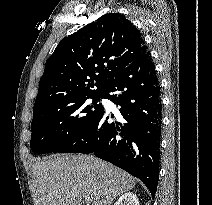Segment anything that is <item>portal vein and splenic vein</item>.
Returning <instances> with one entry per match:
<instances>
[{"label":"portal vein and splenic vein","instance_id":"1","mask_svg":"<svg viewBox=\"0 0 212 205\" xmlns=\"http://www.w3.org/2000/svg\"><path fill=\"white\" fill-rule=\"evenodd\" d=\"M85 201H86L87 203H89V202L91 201V199H90L89 197H86V198H85Z\"/></svg>","mask_w":212,"mask_h":205}]
</instances>
